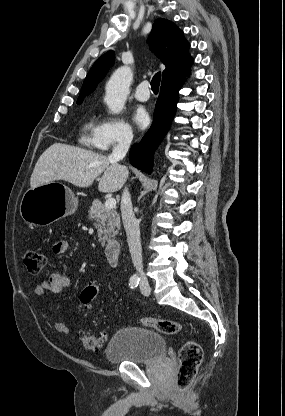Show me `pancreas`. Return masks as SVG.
I'll list each match as a JSON object with an SVG mask.
<instances>
[{
  "label": "pancreas",
  "instance_id": "pancreas-1",
  "mask_svg": "<svg viewBox=\"0 0 285 416\" xmlns=\"http://www.w3.org/2000/svg\"><path fill=\"white\" fill-rule=\"evenodd\" d=\"M91 220H97L98 242L104 246L106 240L114 238L120 230V218L116 210H107L100 200H94L89 210Z\"/></svg>",
  "mask_w": 285,
  "mask_h": 416
}]
</instances>
